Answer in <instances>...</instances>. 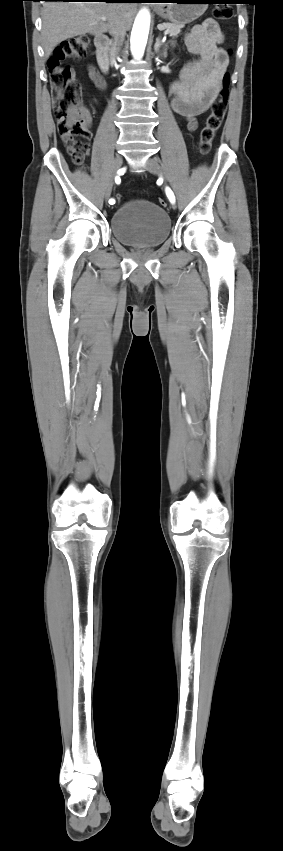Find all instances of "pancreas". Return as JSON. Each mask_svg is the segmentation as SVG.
<instances>
[{"instance_id":"pancreas-1","label":"pancreas","mask_w":283,"mask_h":851,"mask_svg":"<svg viewBox=\"0 0 283 851\" xmlns=\"http://www.w3.org/2000/svg\"><path fill=\"white\" fill-rule=\"evenodd\" d=\"M183 27H184V25L173 24V23H162V24L158 25V28L165 29L166 31H168V34L171 37H177L180 34L181 29Z\"/></svg>"}]
</instances>
